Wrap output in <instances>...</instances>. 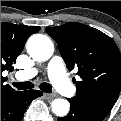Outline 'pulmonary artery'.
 Instances as JSON below:
<instances>
[{
	"label": "pulmonary artery",
	"mask_w": 121,
	"mask_h": 121,
	"mask_svg": "<svg viewBox=\"0 0 121 121\" xmlns=\"http://www.w3.org/2000/svg\"><path fill=\"white\" fill-rule=\"evenodd\" d=\"M37 72L38 71L35 68L27 69L18 72V76L23 80H27L36 76ZM48 76L60 92L68 96L74 95L75 90L65 75L61 58L54 57L50 60L48 64Z\"/></svg>",
	"instance_id": "obj_1"
}]
</instances>
